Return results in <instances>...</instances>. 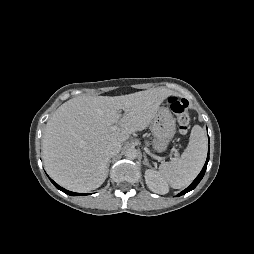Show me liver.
I'll return each mask as SVG.
<instances>
[{
	"label": "liver",
	"mask_w": 254,
	"mask_h": 254,
	"mask_svg": "<svg viewBox=\"0 0 254 254\" xmlns=\"http://www.w3.org/2000/svg\"><path fill=\"white\" fill-rule=\"evenodd\" d=\"M175 92L154 88L121 96H78L66 101L46 124L42 153L47 173L77 192L100 187L107 177V146L146 129L161 103ZM123 110L124 114L119 112ZM118 125V130L111 127Z\"/></svg>",
	"instance_id": "1"
}]
</instances>
